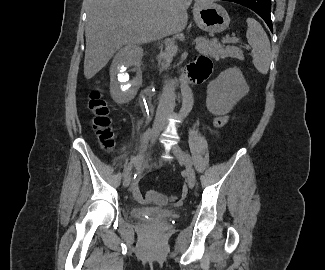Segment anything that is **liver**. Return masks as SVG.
<instances>
[{
	"mask_svg": "<svg viewBox=\"0 0 325 270\" xmlns=\"http://www.w3.org/2000/svg\"><path fill=\"white\" fill-rule=\"evenodd\" d=\"M188 6L187 0H88L85 78L94 77L123 45L140 58L137 45L183 31Z\"/></svg>",
	"mask_w": 325,
	"mask_h": 270,
	"instance_id": "obj_1",
	"label": "liver"
}]
</instances>
